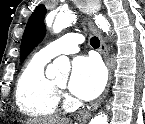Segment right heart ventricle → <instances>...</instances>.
<instances>
[{
	"label": "right heart ventricle",
	"instance_id": "right-heart-ventricle-1",
	"mask_svg": "<svg viewBox=\"0 0 145 124\" xmlns=\"http://www.w3.org/2000/svg\"><path fill=\"white\" fill-rule=\"evenodd\" d=\"M48 59L34 55L22 69L15 90L19 110L30 117L46 118L57 114L59 97L45 76Z\"/></svg>",
	"mask_w": 145,
	"mask_h": 124
}]
</instances>
